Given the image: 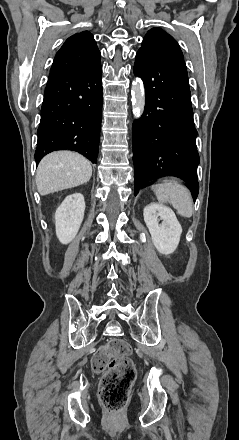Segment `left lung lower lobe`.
I'll list each match as a JSON object with an SVG mask.
<instances>
[{"label":"left lung lower lobe","instance_id":"left-lung-lower-lobe-1","mask_svg":"<svg viewBox=\"0 0 239 440\" xmlns=\"http://www.w3.org/2000/svg\"><path fill=\"white\" fill-rule=\"evenodd\" d=\"M133 71L146 92L144 113L132 127L135 195L147 181L175 176L190 185L196 199L197 130L184 59L138 51Z\"/></svg>","mask_w":239,"mask_h":440}]
</instances>
